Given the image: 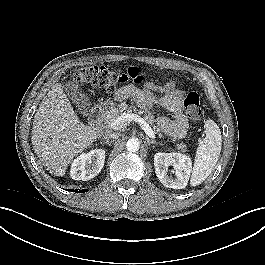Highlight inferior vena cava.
Instances as JSON below:
<instances>
[{"label":"inferior vena cava","instance_id":"602c4592","mask_svg":"<svg viewBox=\"0 0 265 265\" xmlns=\"http://www.w3.org/2000/svg\"><path fill=\"white\" fill-rule=\"evenodd\" d=\"M118 137H119L118 133L106 132L104 135V139H106L107 141H114Z\"/></svg>","mask_w":265,"mask_h":265}]
</instances>
